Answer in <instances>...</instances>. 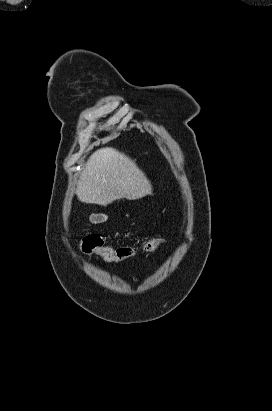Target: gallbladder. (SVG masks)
I'll list each match as a JSON object with an SVG mask.
<instances>
[{
  "instance_id": "obj_1",
  "label": "gallbladder",
  "mask_w": 272,
  "mask_h": 411,
  "mask_svg": "<svg viewBox=\"0 0 272 411\" xmlns=\"http://www.w3.org/2000/svg\"><path fill=\"white\" fill-rule=\"evenodd\" d=\"M90 221L92 222V223H102V222H104V221H106V217H104V216H101V215H92L91 217H90Z\"/></svg>"
}]
</instances>
